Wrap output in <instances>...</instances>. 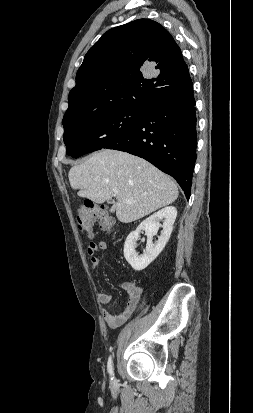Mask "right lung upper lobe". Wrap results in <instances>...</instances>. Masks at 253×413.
Instances as JSON below:
<instances>
[{
  "mask_svg": "<svg viewBox=\"0 0 253 413\" xmlns=\"http://www.w3.org/2000/svg\"><path fill=\"white\" fill-rule=\"evenodd\" d=\"M149 62L156 63L158 72L151 79L145 78ZM191 82L172 35L153 20L132 21L107 31L85 55L63 125L113 109L142 110Z\"/></svg>",
  "mask_w": 253,
  "mask_h": 413,
  "instance_id": "right-lung-upper-lobe-1",
  "label": "right lung upper lobe"
}]
</instances>
